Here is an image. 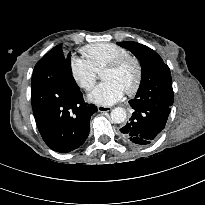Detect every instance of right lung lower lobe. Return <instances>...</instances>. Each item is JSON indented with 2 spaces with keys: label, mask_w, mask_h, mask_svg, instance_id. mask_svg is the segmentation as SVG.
<instances>
[{
  "label": "right lung lower lobe",
  "mask_w": 205,
  "mask_h": 205,
  "mask_svg": "<svg viewBox=\"0 0 205 205\" xmlns=\"http://www.w3.org/2000/svg\"><path fill=\"white\" fill-rule=\"evenodd\" d=\"M31 103L38 130L52 150L66 153L85 142L97 107L84 102L71 74L70 54L65 58L61 45L36 64Z\"/></svg>",
  "instance_id": "right-lung-lower-lobe-1"
}]
</instances>
